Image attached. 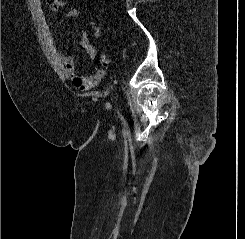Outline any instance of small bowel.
<instances>
[{
	"label": "small bowel",
	"instance_id": "small-bowel-1",
	"mask_svg": "<svg viewBox=\"0 0 245 239\" xmlns=\"http://www.w3.org/2000/svg\"><path fill=\"white\" fill-rule=\"evenodd\" d=\"M50 4V9L53 13L59 11L61 7L66 5V0H54ZM81 15V12L78 8H71L67 12V17L70 19H77ZM81 47L87 53L91 60H96L98 58L96 48L88 41L86 36H84L80 42ZM62 64L64 66L66 74L70 77L73 84L80 90L86 91L96 87L106 76L105 67L108 65V58L105 55L99 57L101 66L97 68L94 73L90 76L78 75L75 68V59L73 56L68 54H62L60 56Z\"/></svg>",
	"mask_w": 245,
	"mask_h": 239
}]
</instances>
